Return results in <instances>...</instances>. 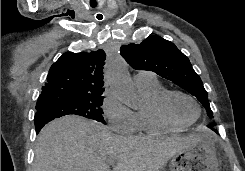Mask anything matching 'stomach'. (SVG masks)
Returning <instances> with one entry per match:
<instances>
[{
  "mask_svg": "<svg viewBox=\"0 0 245 171\" xmlns=\"http://www.w3.org/2000/svg\"><path fill=\"white\" fill-rule=\"evenodd\" d=\"M215 138L202 134L198 142L175 154L170 162L171 171H219Z\"/></svg>",
  "mask_w": 245,
  "mask_h": 171,
  "instance_id": "1",
  "label": "stomach"
}]
</instances>
